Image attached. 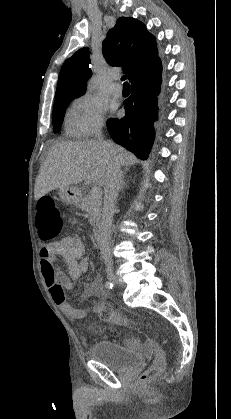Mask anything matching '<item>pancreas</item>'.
<instances>
[{
    "mask_svg": "<svg viewBox=\"0 0 231 419\" xmlns=\"http://www.w3.org/2000/svg\"><path fill=\"white\" fill-rule=\"evenodd\" d=\"M101 198H93L91 194H87L83 197L79 204V208L85 210L89 215V222L91 225L98 223L101 217Z\"/></svg>",
    "mask_w": 231,
    "mask_h": 419,
    "instance_id": "1",
    "label": "pancreas"
}]
</instances>
